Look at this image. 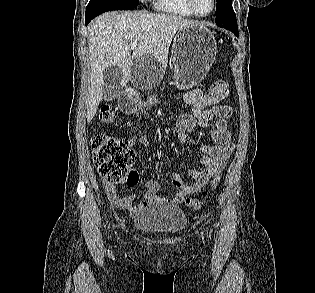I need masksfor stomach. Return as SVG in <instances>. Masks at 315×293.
<instances>
[{"mask_svg": "<svg viewBox=\"0 0 315 293\" xmlns=\"http://www.w3.org/2000/svg\"><path fill=\"white\" fill-rule=\"evenodd\" d=\"M216 41L211 31L201 24L185 27L177 33L172 46L174 84L179 89L198 85L211 68L216 56ZM145 96L137 92H120L119 110H140ZM151 97L150 102H155Z\"/></svg>", "mask_w": 315, "mask_h": 293, "instance_id": "obj_1", "label": "stomach"}]
</instances>
